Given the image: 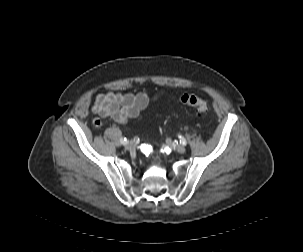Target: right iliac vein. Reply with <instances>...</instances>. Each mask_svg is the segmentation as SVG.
Returning <instances> with one entry per match:
<instances>
[{
	"mask_svg": "<svg viewBox=\"0 0 303 252\" xmlns=\"http://www.w3.org/2000/svg\"><path fill=\"white\" fill-rule=\"evenodd\" d=\"M124 146H125L126 150H131V149H133L134 144L132 141H130V142H127L126 144H124Z\"/></svg>",
	"mask_w": 303,
	"mask_h": 252,
	"instance_id": "1",
	"label": "right iliac vein"
}]
</instances>
